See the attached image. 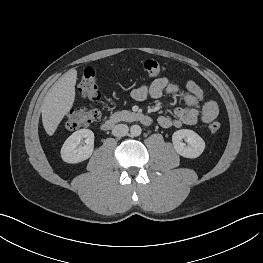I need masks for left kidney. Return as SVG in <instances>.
Segmentation results:
<instances>
[{
    "label": "left kidney",
    "instance_id": "5707ae66",
    "mask_svg": "<svg viewBox=\"0 0 263 263\" xmlns=\"http://www.w3.org/2000/svg\"><path fill=\"white\" fill-rule=\"evenodd\" d=\"M188 143L186 146L182 140ZM172 142L175 151L185 158H197L205 149L204 140L194 131L181 129L173 133Z\"/></svg>",
    "mask_w": 263,
    "mask_h": 263
}]
</instances>
